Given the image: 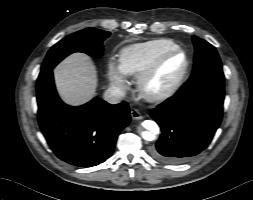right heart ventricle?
<instances>
[{"mask_svg":"<svg viewBox=\"0 0 253 200\" xmlns=\"http://www.w3.org/2000/svg\"><path fill=\"white\" fill-rule=\"evenodd\" d=\"M178 47L165 38L134 43L124 47L119 54V66L125 75L136 76L144 71L162 52Z\"/></svg>","mask_w":253,"mask_h":200,"instance_id":"1","label":"right heart ventricle"}]
</instances>
